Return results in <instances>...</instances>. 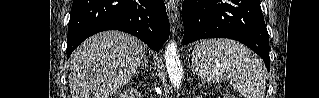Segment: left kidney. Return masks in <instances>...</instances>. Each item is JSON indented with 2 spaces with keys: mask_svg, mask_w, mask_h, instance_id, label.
I'll use <instances>...</instances> for the list:
<instances>
[{
  "mask_svg": "<svg viewBox=\"0 0 319 98\" xmlns=\"http://www.w3.org/2000/svg\"><path fill=\"white\" fill-rule=\"evenodd\" d=\"M224 98H234V96H231L230 94H225Z\"/></svg>",
  "mask_w": 319,
  "mask_h": 98,
  "instance_id": "5707ae66",
  "label": "left kidney"
}]
</instances>
